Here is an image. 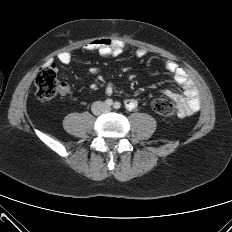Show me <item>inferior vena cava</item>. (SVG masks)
Returning a JSON list of instances; mask_svg holds the SVG:
<instances>
[{
	"instance_id": "602c4592",
	"label": "inferior vena cava",
	"mask_w": 232,
	"mask_h": 232,
	"mask_svg": "<svg viewBox=\"0 0 232 232\" xmlns=\"http://www.w3.org/2000/svg\"><path fill=\"white\" fill-rule=\"evenodd\" d=\"M91 110H92L93 114L101 115V114L106 113L108 111V107L106 106V104L104 102L95 101L92 104Z\"/></svg>"
}]
</instances>
